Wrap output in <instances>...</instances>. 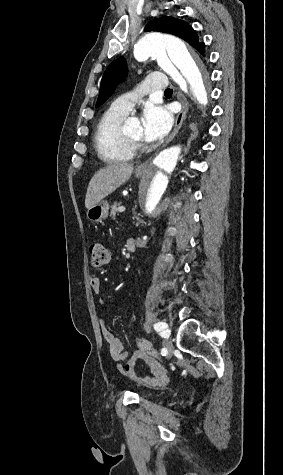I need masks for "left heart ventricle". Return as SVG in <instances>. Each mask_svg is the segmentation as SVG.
Instances as JSON below:
<instances>
[{
  "label": "left heart ventricle",
  "instance_id": "b2bd125f",
  "mask_svg": "<svg viewBox=\"0 0 283 475\" xmlns=\"http://www.w3.org/2000/svg\"><path fill=\"white\" fill-rule=\"evenodd\" d=\"M125 135L134 140H144L142 124L137 122L130 130L125 132Z\"/></svg>",
  "mask_w": 283,
  "mask_h": 475
}]
</instances>
